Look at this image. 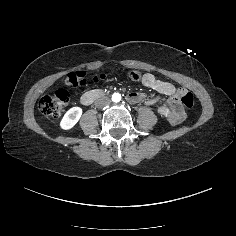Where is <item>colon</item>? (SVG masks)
Returning <instances> with one entry per match:
<instances>
[{"mask_svg":"<svg viewBox=\"0 0 236 236\" xmlns=\"http://www.w3.org/2000/svg\"><path fill=\"white\" fill-rule=\"evenodd\" d=\"M127 76L133 82H139L142 78L141 72L137 70L128 71ZM105 78L106 74H100L94 77V81L99 82ZM83 83H85V74L81 71L69 73L66 77V84L69 86L75 87L82 85ZM177 95L182 105L188 108H191L194 105V96L191 92L185 89H179ZM69 99L70 93L68 90L58 89L52 94L45 95L40 99L39 110L48 117L58 118L64 112Z\"/></svg>","mask_w":236,"mask_h":236,"instance_id":"5ec220e1","label":"colon"}]
</instances>
